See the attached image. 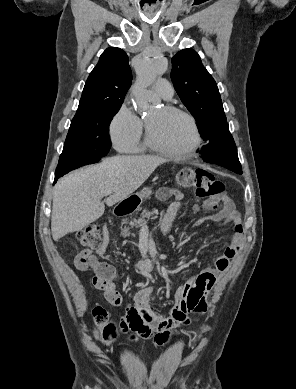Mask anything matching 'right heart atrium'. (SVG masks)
Here are the masks:
<instances>
[{
  "mask_svg": "<svg viewBox=\"0 0 296 389\" xmlns=\"http://www.w3.org/2000/svg\"><path fill=\"white\" fill-rule=\"evenodd\" d=\"M144 124L127 104H122L109 124L111 141L119 152L136 153L141 150Z\"/></svg>",
  "mask_w": 296,
  "mask_h": 389,
  "instance_id": "d8ad5b80",
  "label": "right heart atrium"
}]
</instances>
